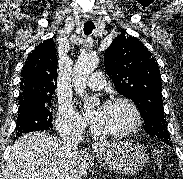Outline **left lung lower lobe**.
I'll return each instance as SVG.
<instances>
[{"label":"left lung lower lobe","instance_id":"obj_1","mask_svg":"<svg viewBox=\"0 0 183 179\" xmlns=\"http://www.w3.org/2000/svg\"><path fill=\"white\" fill-rule=\"evenodd\" d=\"M165 143L172 146L171 141H166Z\"/></svg>","mask_w":183,"mask_h":179}]
</instances>
